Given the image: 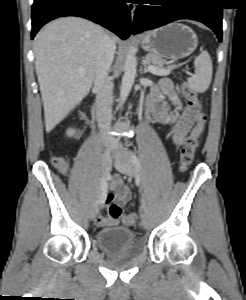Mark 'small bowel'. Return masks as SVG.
<instances>
[{
  "instance_id": "obj_1",
  "label": "small bowel",
  "mask_w": 246,
  "mask_h": 300,
  "mask_svg": "<svg viewBox=\"0 0 246 300\" xmlns=\"http://www.w3.org/2000/svg\"><path fill=\"white\" fill-rule=\"evenodd\" d=\"M161 88L163 92L170 98L175 106V111L171 112L167 109L166 103L162 101V96L158 91H153L150 96V106H160V109L154 112V117L157 122L165 125H172L171 141L174 145H180L190 127L193 124L194 115L197 109L193 106H183L180 99L176 96L172 84L167 79L162 80ZM112 193H106L104 202L114 201L117 205H124L130 199V191L123 184L119 177H115L111 183ZM102 203V204H103ZM96 223L99 226H110L116 223V220L110 216L98 214Z\"/></svg>"
}]
</instances>
